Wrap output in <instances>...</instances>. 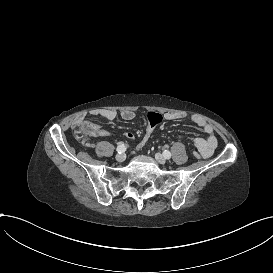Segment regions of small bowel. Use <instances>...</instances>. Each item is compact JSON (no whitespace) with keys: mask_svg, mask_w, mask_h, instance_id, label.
I'll list each match as a JSON object with an SVG mask.
<instances>
[{"mask_svg":"<svg viewBox=\"0 0 273 273\" xmlns=\"http://www.w3.org/2000/svg\"><path fill=\"white\" fill-rule=\"evenodd\" d=\"M90 115L93 117H100L108 121L115 120L118 117V113L115 110L111 109L93 110L90 112ZM119 116L124 121H131L135 118V113L131 110H123L120 112ZM185 117L186 116L183 113L179 112H167L164 114V119L166 121H178L184 119ZM190 119L204 133L203 137H195L193 139L194 145L203 158H209L210 156H212L217 147V138L214 133V128L201 116L192 115ZM103 129H104L103 137L110 134L109 130L105 128ZM84 132L90 139H95L99 135V130L93 123L86 124L84 127ZM125 136L129 140H133L135 138V135L132 132H126ZM82 144L86 147L94 146V144L93 145H87L84 143Z\"/></svg>","mask_w":273,"mask_h":273,"instance_id":"small-bowel-1","label":"small bowel"}]
</instances>
